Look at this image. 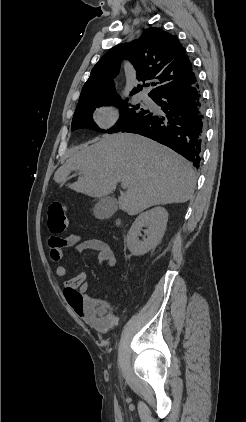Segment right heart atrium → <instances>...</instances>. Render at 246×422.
Returning <instances> with one entry per match:
<instances>
[{
    "instance_id": "obj_1",
    "label": "right heart atrium",
    "mask_w": 246,
    "mask_h": 422,
    "mask_svg": "<svg viewBox=\"0 0 246 422\" xmlns=\"http://www.w3.org/2000/svg\"><path fill=\"white\" fill-rule=\"evenodd\" d=\"M119 119V112L115 105L104 104L96 108L94 112L95 123L103 129L113 127Z\"/></svg>"
}]
</instances>
